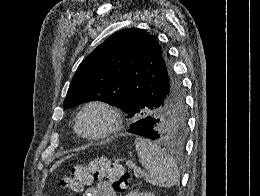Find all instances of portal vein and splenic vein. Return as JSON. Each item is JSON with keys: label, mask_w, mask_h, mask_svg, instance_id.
Here are the masks:
<instances>
[{"label": "portal vein and splenic vein", "mask_w": 260, "mask_h": 196, "mask_svg": "<svg viewBox=\"0 0 260 196\" xmlns=\"http://www.w3.org/2000/svg\"><path fill=\"white\" fill-rule=\"evenodd\" d=\"M128 168H133L135 176H142V174H145V170H141V168H138V166H135L133 162H126Z\"/></svg>", "instance_id": "1"}]
</instances>
